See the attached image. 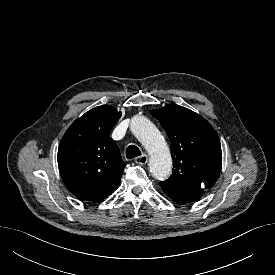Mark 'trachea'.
<instances>
[{
    "mask_svg": "<svg viewBox=\"0 0 275 275\" xmlns=\"http://www.w3.org/2000/svg\"><path fill=\"white\" fill-rule=\"evenodd\" d=\"M140 155H141V151L135 145H130L126 149V158L127 159H132V158H135Z\"/></svg>",
    "mask_w": 275,
    "mask_h": 275,
    "instance_id": "obj_1",
    "label": "trachea"
}]
</instances>
